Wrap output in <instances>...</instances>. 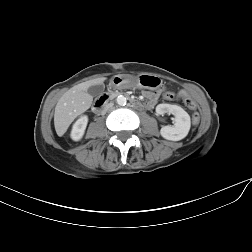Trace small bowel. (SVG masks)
<instances>
[{"label": "small bowel", "instance_id": "obj_1", "mask_svg": "<svg viewBox=\"0 0 252 252\" xmlns=\"http://www.w3.org/2000/svg\"><path fill=\"white\" fill-rule=\"evenodd\" d=\"M145 96L147 98L146 108H152L158 99L159 93L158 92H146ZM187 94L185 92L180 93V97H185Z\"/></svg>", "mask_w": 252, "mask_h": 252}]
</instances>
